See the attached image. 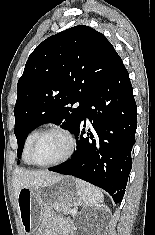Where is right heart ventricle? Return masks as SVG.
Returning <instances> with one entry per match:
<instances>
[{"mask_svg": "<svg viewBox=\"0 0 155 235\" xmlns=\"http://www.w3.org/2000/svg\"><path fill=\"white\" fill-rule=\"evenodd\" d=\"M39 129H34L31 132L28 133V135L26 136L24 143H23V150H22V158L23 161L27 164V165H31L30 161L28 160V149L30 144L32 143L33 139L35 138V136L39 133Z\"/></svg>", "mask_w": 155, "mask_h": 235, "instance_id": "right-heart-ventricle-1", "label": "right heart ventricle"}]
</instances>
